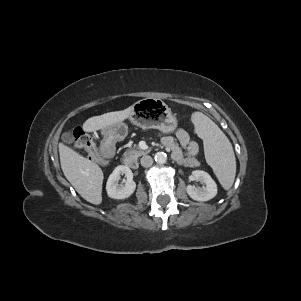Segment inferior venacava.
I'll use <instances>...</instances> for the list:
<instances>
[{
  "label": "inferior vena cava",
  "mask_w": 301,
  "mask_h": 301,
  "mask_svg": "<svg viewBox=\"0 0 301 301\" xmlns=\"http://www.w3.org/2000/svg\"><path fill=\"white\" fill-rule=\"evenodd\" d=\"M140 161H141V165L145 168H148L153 164L152 157L148 155L143 156Z\"/></svg>",
  "instance_id": "602c4592"
}]
</instances>
